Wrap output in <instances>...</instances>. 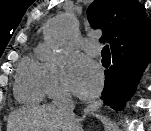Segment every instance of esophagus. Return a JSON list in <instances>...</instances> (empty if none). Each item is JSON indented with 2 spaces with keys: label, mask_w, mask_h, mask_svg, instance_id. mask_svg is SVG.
Returning a JSON list of instances; mask_svg holds the SVG:
<instances>
[{
  "label": "esophagus",
  "mask_w": 151,
  "mask_h": 131,
  "mask_svg": "<svg viewBox=\"0 0 151 131\" xmlns=\"http://www.w3.org/2000/svg\"><path fill=\"white\" fill-rule=\"evenodd\" d=\"M101 100L95 99L88 103V105L84 108V113L90 114L96 111L101 106Z\"/></svg>",
  "instance_id": "34e87169"
}]
</instances>
